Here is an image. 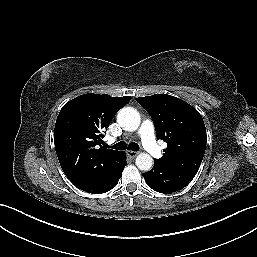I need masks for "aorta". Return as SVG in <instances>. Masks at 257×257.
<instances>
[{
  "instance_id": "obj_1",
  "label": "aorta",
  "mask_w": 257,
  "mask_h": 257,
  "mask_svg": "<svg viewBox=\"0 0 257 257\" xmlns=\"http://www.w3.org/2000/svg\"><path fill=\"white\" fill-rule=\"evenodd\" d=\"M117 122L127 131L138 129L141 118L139 112L132 107H124L117 114ZM136 166L141 171H149L153 166V159L147 153H140L136 157Z\"/></svg>"
}]
</instances>
